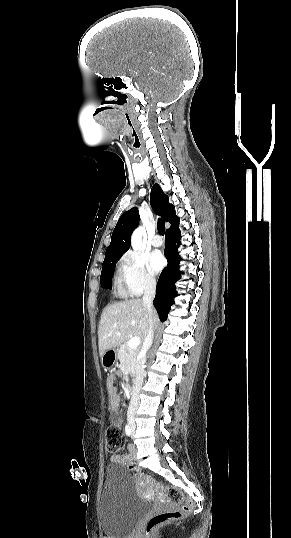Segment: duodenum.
<instances>
[{
    "mask_svg": "<svg viewBox=\"0 0 291 538\" xmlns=\"http://www.w3.org/2000/svg\"><path fill=\"white\" fill-rule=\"evenodd\" d=\"M108 354L114 358L115 357V352L114 350H109L108 351ZM123 387L125 388L124 390V395L126 397H131L133 395V388L135 386V383L133 381V378L130 376V374L128 372H125L123 374Z\"/></svg>",
    "mask_w": 291,
    "mask_h": 538,
    "instance_id": "1",
    "label": "duodenum"
}]
</instances>
